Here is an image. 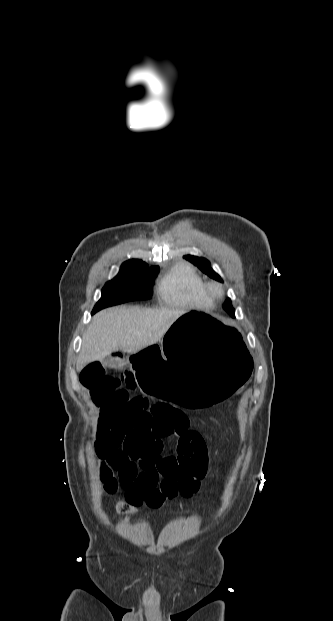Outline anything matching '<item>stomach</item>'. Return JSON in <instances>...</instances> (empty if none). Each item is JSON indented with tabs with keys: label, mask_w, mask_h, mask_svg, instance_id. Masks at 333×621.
<instances>
[{
	"label": "stomach",
	"mask_w": 333,
	"mask_h": 621,
	"mask_svg": "<svg viewBox=\"0 0 333 621\" xmlns=\"http://www.w3.org/2000/svg\"><path fill=\"white\" fill-rule=\"evenodd\" d=\"M146 396H165L180 413H214L253 373V353L236 324L203 311L180 316L162 341L129 355Z\"/></svg>",
	"instance_id": "stomach-1"
}]
</instances>
